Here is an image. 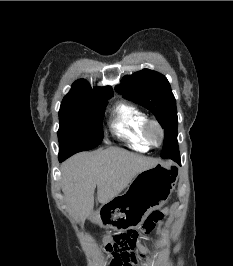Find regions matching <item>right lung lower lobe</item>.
<instances>
[{
	"label": "right lung lower lobe",
	"instance_id": "98d812e1",
	"mask_svg": "<svg viewBox=\"0 0 233 266\" xmlns=\"http://www.w3.org/2000/svg\"><path fill=\"white\" fill-rule=\"evenodd\" d=\"M65 159H66L65 157H59L60 162L64 161Z\"/></svg>",
	"mask_w": 233,
	"mask_h": 266
}]
</instances>
